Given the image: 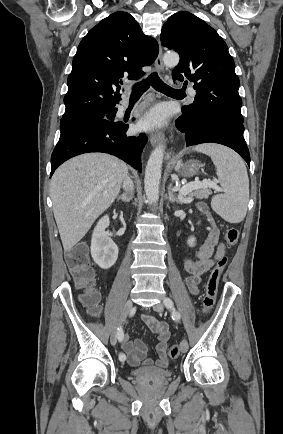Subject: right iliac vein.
I'll list each match as a JSON object with an SVG mask.
<instances>
[{"instance_id": "1", "label": "right iliac vein", "mask_w": 283, "mask_h": 434, "mask_svg": "<svg viewBox=\"0 0 283 434\" xmlns=\"http://www.w3.org/2000/svg\"><path fill=\"white\" fill-rule=\"evenodd\" d=\"M133 309V302L131 300H128L123 308L121 317L116 325V327L112 330L111 336H110V343L112 346H115L117 343V332L118 328L122 324V322L127 318V316L130 314V312Z\"/></svg>"}]
</instances>
